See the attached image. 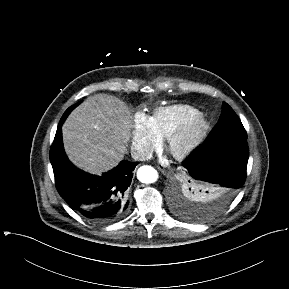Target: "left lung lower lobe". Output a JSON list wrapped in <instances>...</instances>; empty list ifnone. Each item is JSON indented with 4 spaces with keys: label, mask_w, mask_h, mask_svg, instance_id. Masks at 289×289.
<instances>
[{
    "label": "left lung lower lobe",
    "mask_w": 289,
    "mask_h": 289,
    "mask_svg": "<svg viewBox=\"0 0 289 289\" xmlns=\"http://www.w3.org/2000/svg\"><path fill=\"white\" fill-rule=\"evenodd\" d=\"M248 157L246 139L203 143L183 162L186 170L182 184L205 187L213 195L214 210L221 211L244 184Z\"/></svg>",
    "instance_id": "0a47b994"
}]
</instances>
